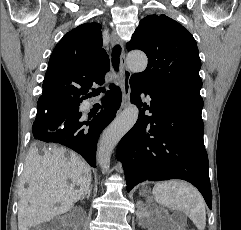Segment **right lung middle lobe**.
<instances>
[{
	"label": "right lung middle lobe",
	"instance_id": "1",
	"mask_svg": "<svg viewBox=\"0 0 241 230\" xmlns=\"http://www.w3.org/2000/svg\"><path fill=\"white\" fill-rule=\"evenodd\" d=\"M65 103H68V104H71L73 106V109H75L74 111L77 112L78 111V108H77V104L78 102L76 101H72V102H64V103H60V104H48V106L50 108H56L57 106H60L62 104H65ZM41 105L38 104V107H40ZM81 114H78L75 116V118L71 119L73 115H70L66 118H58V119H55L52 121V127H64V126H67L68 124L74 122L76 120V117L80 116Z\"/></svg>",
	"mask_w": 241,
	"mask_h": 230
}]
</instances>
